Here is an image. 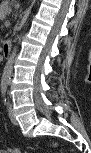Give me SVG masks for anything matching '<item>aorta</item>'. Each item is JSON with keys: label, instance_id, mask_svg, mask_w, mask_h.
Segmentation results:
<instances>
[{"label": "aorta", "instance_id": "762f6f07", "mask_svg": "<svg viewBox=\"0 0 91 153\" xmlns=\"http://www.w3.org/2000/svg\"><path fill=\"white\" fill-rule=\"evenodd\" d=\"M26 25H27V23H26ZM21 37H22V35L19 37V42L21 41ZM16 53H17V47H14L10 57L8 58L6 65L4 67L2 78H1V84L4 86H8L10 83V76H11V72H12L14 59L16 57Z\"/></svg>", "mask_w": 91, "mask_h": 153}]
</instances>
